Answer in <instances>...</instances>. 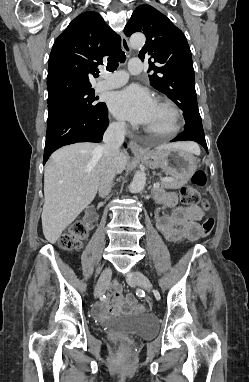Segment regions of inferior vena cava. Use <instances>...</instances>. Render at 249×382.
Segmentation results:
<instances>
[{
    "label": "inferior vena cava",
    "instance_id": "1",
    "mask_svg": "<svg viewBox=\"0 0 249 382\" xmlns=\"http://www.w3.org/2000/svg\"><path fill=\"white\" fill-rule=\"evenodd\" d=\"M126 124L124 122L110 124L103 136L102 150L104 162L101 169V177L98 184L100 197H106L112 188L114 178L119 173V149L124 142Z\"/></svg>",
    "mask_w": 249,
    "mask_h": 382
}]
</instances>
